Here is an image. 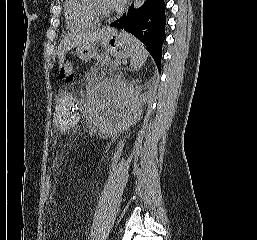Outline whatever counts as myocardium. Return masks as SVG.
<instances>
[{"instance_id": "myocardium-1", "label": "myocardium", "mask_w": 257, "mask_h": 240, "mask_svg": "<svg viewBox=\"0 0 257 240\" xmlns=\"http://www.w3.org/2000/svg\"><path fill=\"white\" fill-rule=\"evenodd\" d=\"M81 6L84 13L96 22L107 20L112 16V11L106 13L98 12L94 6V0H81Z\"/></svg>"}]
</instances>
